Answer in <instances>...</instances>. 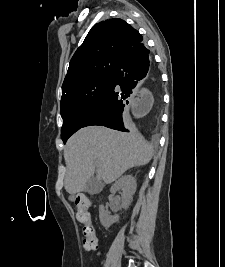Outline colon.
<instances>
[{
	"mask_svg": "<svg viewBox=\"0 0 225 267\" xmlns=\"http://www.w3.org/2000/svg\"><path fill=\"white\" fill-rule=\"evenodd\" d=\"M90 205L91 202L88 197H77V219L83 225L81 230L83 236V246L87 250H92L97 245L96 228L91 222V213L89 211Z\"/></svg>",
	"mask_w": 225,
	"mask_h": 267,
	"instance_id": "5ec220e1",
	"label": "colon"
}]
</instances>
